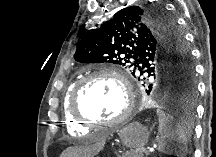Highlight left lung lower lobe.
I'll return each mask as SVG.
<instances>
[{
    "instance_id": "obj_1",
    "label": "left lung lower lobe",
    "mask_w": 216,
    "mask_h": 157,
    "mask_svg": "<svg viewBox=\"0 0 216 157\" xmlns=\"http://www.w3.org/2000/svg\"><path fill=\"white\" fill-rule=\"evenodd\" d=\"M195 92H196V88H195ZM176 97H178V96H176ZM181 122L183 123V126L185 127L186 131H188V128H189L190 123H191V117H190V115L186 113L182 117Z\"/></svg>"
}]
</instances>
